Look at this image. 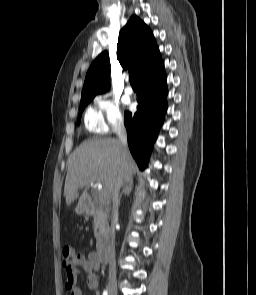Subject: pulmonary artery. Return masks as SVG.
<instances>
[{"mask_svg": "<svg viewBox=\"0 0 256 295\" xmlns=\"http://www.w3.org/2000/svg\"><path fill=\"white\" fill-rule=\"evenodd\" d=\"M124 90H125V93H127V94H132L133 93V89L129 85H126Z\"/></svg>", "mask_w": 256, "mask_h": 295, "instance_id": "1", "label": "pulmonary artery"}]
</instances>
